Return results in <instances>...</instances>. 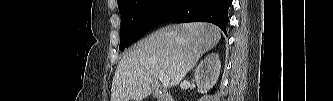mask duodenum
I'll return each mask as SVG.
<instances>
[{"label":"duodenum","mask_w":333,"mask_h":101,"mask_svg":"<svg viewBox=\"0 0 333 101\" xmlns=\"http://www.w3.org/2000/svg\"><path fill=\"white\" fill-rule=\"evenodd\" d=\"M155 97L158 101H173L170 94L165 90L156 91Z\"/></svg>","instance_id":"duodenum-1"}]
</instances>
